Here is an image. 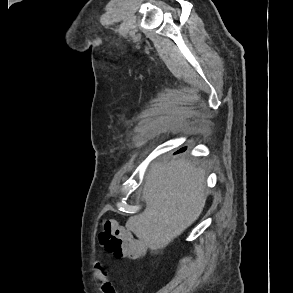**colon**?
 Returning <instances> with one entry per match:
<instances>
[{"instance_id": "5ec220e1", "label": "colon", "mask_w": 293, "mask_h": 293, "mask_svg": "<svg viewBox=\"0 0 293 293\" xmlns=\"http://www.w3.org/2000/svg\"><path fill=\"white\" fill-rule=\"evenodd\" d=\"M100 244L115 258L137 260L146 251V245L110 218L102 220Z\"/></svg>"}]
</instances>
